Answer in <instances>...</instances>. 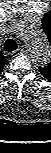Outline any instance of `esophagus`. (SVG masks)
<instances>
[{"instance_id":"obj_1","label":"esophagus","mask_w":51,"mask_h":153,"mask_svg":"<svg viewBox=\"0 0 51 153\" xmlns=\"http://www.w3.org/2000/svg\"><path fill=\"white\" fill-rule=\"evenodd\" d=\"M22 53H23V50L21 48H18L15 51H13L11 55L16 56V55H19V54H22Z\"/></svg>"}]
</instances>
